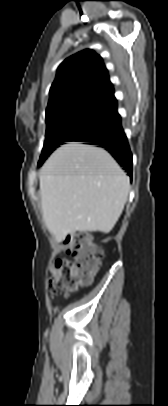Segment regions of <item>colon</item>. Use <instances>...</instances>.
Instances as JSON below:
<instances>
[{"label": "colon", "mask_w": 168, "mask_h": 406, "mask_svg": "<svg viewBox=\"0 0 168 406\" xmlns=\"http://www.w3.org/2000/svg\"><path fill=\"white\" fill-rule=\"evenodd\" d=\"M63 246L71 258L58 259L52 265L48 290L53 295L72 292L80 286L89 285L102 257L100 247L91 243L82 232L68 234Z\"/></svg>", "instance_id": "1"}]
</instances>
